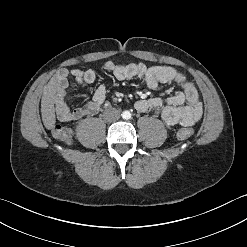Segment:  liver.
<instances>
[{
  "instance_id": "1",
  "label": "liver",
  "mask_w": 247,
  "mask_h": 247,
  "mask_svg": "<svg viewBox=\"0 0 247 247\" xmlns=\"http://www.w3.org/2000/svg\"><path fill=\"white\" fill-rule=\"evenodd\" d=\"M58 90L56 79L52 78L44 87L41 99V115L44 126L52 129L56 122L54 101Z\"/></svg>"
}]
</instances>
